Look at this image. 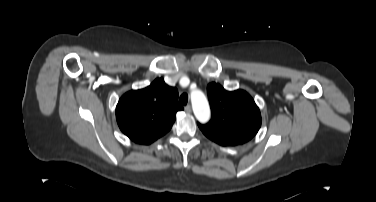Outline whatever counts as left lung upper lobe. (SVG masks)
<instances>
[{
	"mask_svg": "<svg viewBox=\"0 0 376 202\" xmlns=\"http://www.w3.org/2000/svg\"><path fill=\"white\" fill-rule=\"evenodd\" d=\"M212 117L199 128L220 145L243 144L253 138L261 126L259 108L243 90L226 91L217 83L207 86Z\"/></svg>",
	"mask_w": 376,
	"mask_h": 202,
	"instance_id": "1",
	"label": "left lung upper lobe"
}]
</instances>
